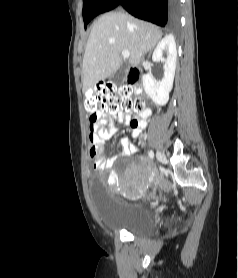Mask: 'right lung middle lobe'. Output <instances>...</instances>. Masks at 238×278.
<instances>
[{"mask_svg":"<svg viewBox=\"0 0 238 278\" xmlns=\"http://www.w3.org/2000/svg\"><path fill=\"white\" fill-rule=\"evenodd\" d=\"M103 1L104 0H84L82 14L85 22V28L89 21L94 17L95 11Z\"/></svg>","mask_w":238,"mask_h":278,"instance_id":"obj_1","label":"right lung middle lobe"}]
</instances>
